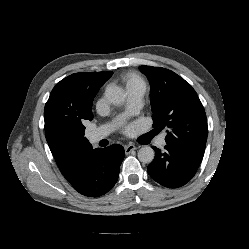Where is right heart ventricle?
Instances as JSON below:
<instances>
[{
    "instance_id": "right-heart-ventricle-1",
    "label": "right heart ventricle",
    "mask_w": 249,
    "mask_h": 249,
    "mask_svg": "<svg viewBox=\"0 0 249 249\" xmlns=\"http://www.w3.org/2000/svg\"><path fill=\"white\" fill-rule=\"evenodd\" d=\"M123 81L126 85L127 90L136 89V88L145 90L146 88V83L144 79L135 72L126 73L123 76Z\"/></svg>"
}]
</instances>
